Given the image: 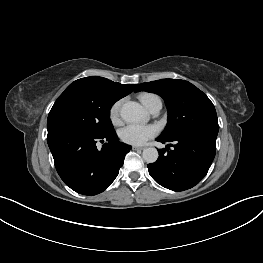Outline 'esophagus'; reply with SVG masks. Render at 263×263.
Segmentation results:
<instances>
[{"label":"esophagus","instance_id":"obj_1","mask_svg":"<svg viewBox=\"0 0 263 263\" xmlns=\"http://www.w3.org/2000/svg\"><path fill=\"white\" fill-rule=\"evenodd\" d=\"M132 148L133 150H143L144 149V147H139V146H133Z\"/></svg>","mask_w":263,"mask_h":263}]
</instances>
